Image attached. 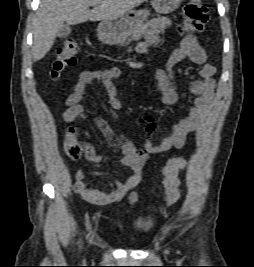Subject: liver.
I'll use <instances>...</instances> for the list:
<instances>
[{"label":"liver","mask_w":254,"mask_h":267,"mask_svg":"<svg viewBox=\"0 0 254 267\" xmlns=\"http://www.w3.org/2000/svg\"><path fill=\"white\" fill-rule=\"evenodd\" d=\"M146 0H41L35 14L32 54L41 60L52 48L59 28L120 17ZM97 3L93 10L89 7Z\"/></svg>","instance_id":"1"}]
</instances>
